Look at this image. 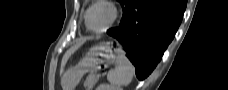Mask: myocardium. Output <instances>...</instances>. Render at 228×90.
Instances as JSON below:
<instances>
[{
	"instance_id": "obj_1",
	"label": "myocardium",
	"mask_w": 228,
	"mask_h": 90,
	"mask_svg": "<svg viewBox=\"0 0 228 90\" xmlns=\"http://www.w3.org/2000/svg\"><path fill=\"white\" fill-rule=\"evenodd\" d=\"M97 6H105L107 7L110 12H111V17L109 22L107 23V25L105 27H103L100 30H94L90 27L89 25V16H90V12L93 8L97 7ZM118 18V9L116 7V5L112 2V1H107V0H98L95 1L86 11L85 14V25L87 27V29L93 33H103L105 31H107L110 27L113 26V24L116 22Z\"/></svg>"
}]
</instances>
